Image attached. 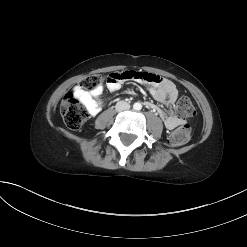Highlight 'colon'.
<instances>
[{
    "label": "colon",
    "mask_w": 247,
    "mask_h": 247,
    "mask_svg": "<svg viewBox=\"0 0 247 247\" xmlns=\"http://www.w3.org/2000/svg\"><path fill=\"white\" fill-rule=\"evenodd\" d=\"M102 81V76L93 74L80 83V87L84 90H93ZM146 81V80H145ZM176 113L179 118L185 119L192 117L195 114V108L187 96H182L176 103ZM60 113L66 126L71 130H78L81 128L85 120L88 118V111L86 107L73 94H67L61 104ZM190 137V128L187 125H181L174 130L168 138V141L173 146H180L186 143Z\"/></svg>",
    "instance_id": "colon-1"
}]
</instances>
